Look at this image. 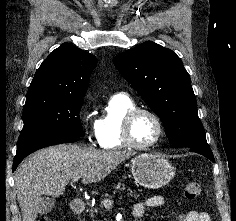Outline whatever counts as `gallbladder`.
Masks as SVG:
<instances>
[{"label": "gallbladder", "mask_w": 236, "mask_h": 221, "mask_svg": "<svg viewBox=\"0 0 236 221\" xmlns=\"http://www.w3.org/2000/svg\"><path fill=\"white\" fill-rule=\"evenodd\" d=\"M55 206V199L52 197L44 196L40 198L38 213L47 214L52 211Z\"/></svg>", "instance_id": "bac80fb5"}]
</instances>
